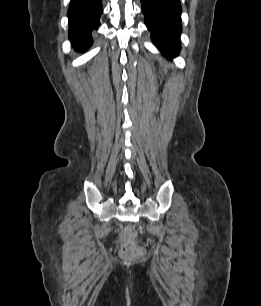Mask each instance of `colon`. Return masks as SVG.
<instances>
[{"instance_id":"5ec220e1","label":"colon","mask_w":261,"mask_h":306,"mask_svg":"<svg viewBox=\"0 0 261 306\" xmlns=\"http://www.w3.org/2000/svg\"><path fill=\"white\" fill-rule=\"evenodd\" d=\"M120 253L124 258H135L142 254V248L136 242V233L132 227H126L120 232Z\"/></svg>"}]
</instances>
